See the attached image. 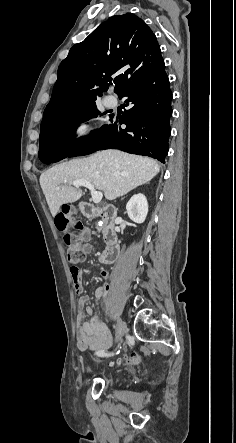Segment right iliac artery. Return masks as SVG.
Wrapping results in <instances>:
<instances>
[{
	"label": "right iliac artery",
	"instance_id": "obj_1",
	"mask_svg": "<svg viewBox=\"0 0 236 443\" xmlns=\"http://www.w3.org/2000/svg\"><path fill=\"white\" fill-rule=\"evenodd\" d=\"M119 352H120V351H117L116 354H119ZM96 354H97L98 356H109V355H113V354H107V353H105L104 351H98V352H96Z\"/></svg>",
	"mask_w": 236,
	"mask_h": 443
}]
</instances>
